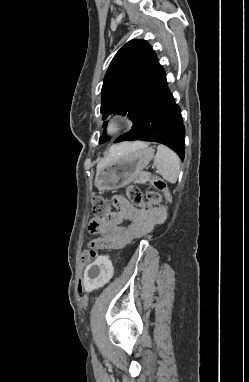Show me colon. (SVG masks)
Masks as SVG:
<instances>
[{
  "mask_svg": "<svg viewBox=\"0 0 249 382\" xmlns=\"http://www.w3.org/2000/svg\"><path fill=\"white\" fill-rule=\"evenodd\" d=\"M156 190H149L146 194V199H144L143 194L136 186H128L126 188V196L129 202L136 207H149L155 208L159 205L161 201V195L159 191H164L166 184L161 179H156L152 182ZM92 210L96 216H104L108 212V203L107 201L100 196H95L92 198ZM98 255L97 250L91 248L88 251H84L81 259L86 261L88 259H95Z\"/></svg>",
  "mask_w": 249,
  "mask_h": 382,
  "instance_id": "colon-1",
  "label": "colon"
}]
</instances>
